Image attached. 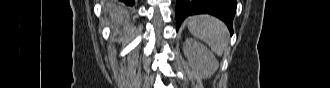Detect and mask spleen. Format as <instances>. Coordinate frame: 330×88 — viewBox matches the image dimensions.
<instances>
[{
    "label": "spleen",
    "mask_w": 330,
    "mask_h": 88,
    "mask_svg": "<svg viewBox=\"0 0 330 88\" xmlns=\"http://www.w3.org/2000/svg\"><path fill=\"white\" fill-rule=\"evenodd\" d=\"M189 31L207 43L218 56L223 54L227 42V28L223 22L210 15H196L187 19Z\"/></svg>",
    "instance_id": "1"
}]
</instances>
